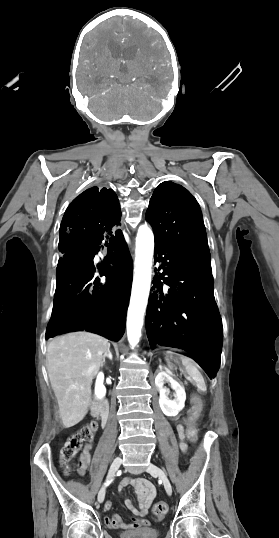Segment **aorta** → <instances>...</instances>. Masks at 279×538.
Masks as SVG:
<instances>
[{"instance_id": "762f6f07", "label": "aorta", "mask_w": 279, "mask_h": 538, "mask_svg": "<svg viewBox=\"0 0 279 538\" xmlns=\"http://www.w3.org/2000/svg\"><path fill=\"white\" fill-rule=\"evenodd\" d=\"M135 251L134 278L127 314V337L133 347L138 344L141 337L151 284L154 235L147 225L138 228Z\"/></svg>"}]
</instances>
